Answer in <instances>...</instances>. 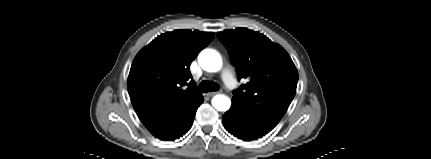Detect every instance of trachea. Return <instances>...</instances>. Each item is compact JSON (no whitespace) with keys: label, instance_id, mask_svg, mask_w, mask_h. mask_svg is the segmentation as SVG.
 <instances>
[{"label":"trachea","instance_id":"obj_1","mask_svg":"<svg viewBox=\"0 0 431 159\" xmlns=\"http://www.w3.org/2000/svg\"><path fill=\"white\" fill-rule=\"evenodd\" d=\"M217 90H219V85L215 82H210V81H202L198 87V91L200 93H206L209 91H217Z\"/></svg>","mask_w":431,"mask_h":159}]
</instances>
